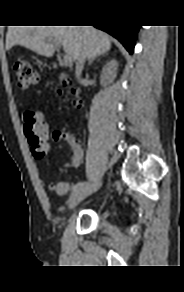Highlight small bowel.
Instances as JSON below:
<instances>
[{
    "label": "small bowel",
    "instance_id": "small-bowel-1",
    "mask_svg": "<svg viewBox=\"0 0 184 292\" xmlns=\"http://www.w3.org/2000/svg\"><path fill=\"white\" fill-rule=\"evenodd\" d=\"M52 137L57 142H66L71 150L70 162L65 164L64 167L73 169L80 168L82 165L83 151L81 143L75 138V136L71 133L56 130L53 132ZM69 188L70 185L67 182H60L58 194H65Z\"/></svg>",
    "mask_w": 184,
    "mask_h": 292
}]
</instances>
